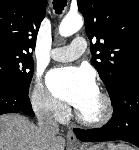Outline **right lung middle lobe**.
I'll list each match as a JSON object with an SVG mask.
<instances>
[{"label": "right lung middle lobe", "mask_w": 139, "mask_h": 150, "mask_svg": "<svg viewBox=\"0 0 139 150\" xmlns=\"http://www.w3.org/2000/svg\"><path fill=\"white\" fill-rule=\"evenodd\" d=\"M33 75L30 54L0 49V85L28 91Z\"/></svg>", "instance_id": "obj_1"}]
</instances>
